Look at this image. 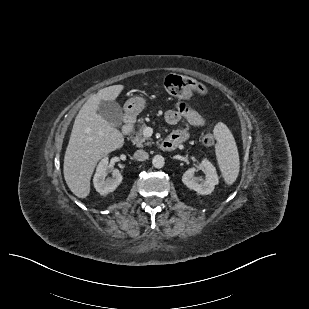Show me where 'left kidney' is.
I'll return each mask as SVG.
<instances>
[{
  "label": "left kidney",
  "instance_id": "left-kidney-1",
  "mask_svg": "<svg viewBox=\"0 0 309 309\" xmlns=\"http://www.w3.org/2000/svg\"><path fill=\"white\" fill-rule=\"evenodd\" d=\"M204 170L205 177H196L198 170ZM183 183L190 189L202 195H208L218 184V175L215 167L207 159H204L197 167L188 169L182 177Z\"/></svg>",
  "mask_w": 309,
  "mask_h": 309
}]
</instances>
